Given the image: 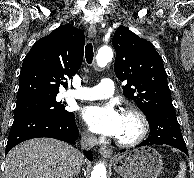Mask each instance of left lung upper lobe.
<instances>
[{"mask_svg": "<svg viewBox=\"0 0 194 178\" xmlns=\"http://www.w3.org/2000/svg\"><path fill=\"white\" fill-rule=\"evenodd\" d=\"M112 44L115 74L128 81L123 94L145 115L152 110L174 109L163 60L154 46L123 26L115 31Z\"/></svg>", "mask_w": 194, "mask_h": 178, "instance_id": "5c2ea615", "label": "left lung upper lobe"}]
</instances>
